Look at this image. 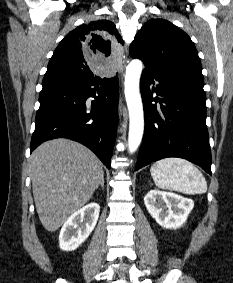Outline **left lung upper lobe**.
I'll return each instance as SVG.
<instances>
[{
    "label": "left lung upper lobe",
    "instance_id": "5c2ea615",
    "mask_svg": "<svg viewBox=\"0 0 233 283\" xmlns=\"http://www.w3.org/2000/svg\"><path fill=\"white\" fill-rule=\"evenodd\" d=\"M130 55L157 72H183L203 78L197 50L189 36L164 19H151L139 30Z\"/></svg>",
    "mask_w": 233,
    "mask_h": 283
}]
</instances>
